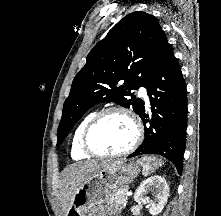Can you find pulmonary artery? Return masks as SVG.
I'll use <instances>...</instances> for the list:
<instances>
[{
  "label": "pulmonary artery",
  "instance_id": "1",
  "mask_svg": "<svg viewBox=\"0 0 221 216\" xmlns=\"http://www.w3.org/2000/svg\"><path fill=\"white\" fill-rule=\"evenodd\" d=\"M139 95L142 96L147 104H149V97L147 95V91L144 88H141L139 91Z\"/></svg>",
  "mask_w": 221,
  "mask_h": 216
}]
</instances>
